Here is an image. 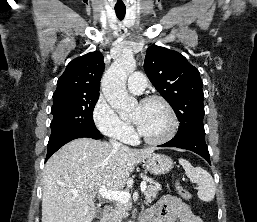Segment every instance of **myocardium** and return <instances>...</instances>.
<instances>
[{"mask_svg": "<svg viewBox=\"0 0 257 222\" xmlns=\"http://www.w3.org/2000/svg\"><path fill=\"white\" fill-rule=\"evenodd\" d=\"M153 102H159L161 103L165 109L167 110L169 117H170V127L169 130L161 137L158 138H148L143 136L138 129H136V137L143 141L146 144L149 145H162L170 141L177 133L179 122H178V117L177 114L172 107V105L163 97L153 95V96H148L140 101V105H147Z\"/></svg>", "mask_w": 257, "mask_h": 222, "instance_id": "f54148a6", "label": "myocardium"}]
</instances>
